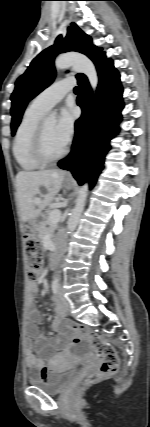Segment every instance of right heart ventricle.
Listing matches in <instances>:
<instances>
[{
  "instance_id": "right-heart-ventricle-1",
  "label": "right heart ventricle",
  "mask_w": 150,
  "mask_h": 427,
  "mask_svg": "<svg viewBox=\"0 0 150 427\" xmlns=\"http://www.w3.org/2000/svg\"><path fill=\"white\" fill-rule=\"evenodd\" d=\"M44 113L29 106L16 130L13 140V155L19 167L24 171H35L43 165L32 155V144L37 127Z\"/></svg>"
}]
</instances>
